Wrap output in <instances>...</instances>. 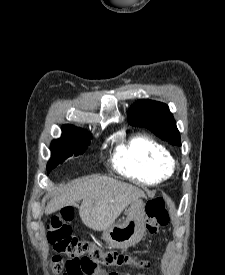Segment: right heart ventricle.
<instances>
[{
	"label": "right heart ventricle",
	"instance_id": "e07e8e85",
	"mask_svg": "<svg viewBox=\"0 0 225 275\" xmlns=\"http://www.w3.org/2000/svg\"><path fill=\"white\" fill-rule=\"evenodd\" d=\"M113 167L125 177L142 184H156L173 174V159L161 143L145 134L122 140L112 158Z\"/></svg>",
	"mask_w": 225,
	"mask_h": 275
}]
</instances>
